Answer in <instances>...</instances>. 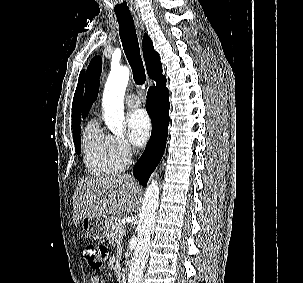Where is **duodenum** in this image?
Returning <instances> with one entry per match:
<instances>
[{"instance_id":"obj_1","label":"duodenum","mask_w":303,"mask_h":283,"mask_svg":"<svg viewBox=\"0 0 303 283\" xmlns=\"http://www.w3.org/2000/svg\"><path fill=\"white\" fill-rule=\"evenodd\" d=\"M123 271L126 275H128L130 273V264L126 263L123 267Z\"/></svg>"}]
</instances>
